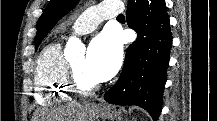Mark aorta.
<instances>
[{"label":"aorta","mask_w":217,"mask_h":121,"mask_svg":"<svg viewBox=\"0 0 217 121\" xmlns=\"http://www.w3.org/2000/svg\"><path fill=\"white\" fill-rule=\"evenodd\" d=\"M84 50V46L78 38L71 37L69 38L66 48L65 56L70 57Z\"/></svg>","instance_id":"762f6f07"}]
</instances>
